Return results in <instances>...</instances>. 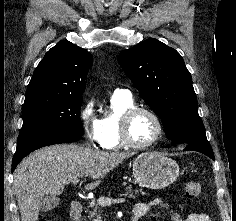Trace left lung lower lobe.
Returning a JSON list of instances; mask_svg holds the SVG:
<instances>
[{
	"instance_id": "left-lung-lower-lobe-1",
	"label": "left lung lower lobe",
	"mask_w": 236,
	"mask_h": 221,
	"mask_svg": "<svg viewBox=\"0 0 236 221\" xmlns=\"http://www.w3.org/2000/svg\"><path fill=\"white\" fill-rule=\"evenodd\" d=\"M184 146H185L184 150L198 151V152H201V153L209 156L212 160H215L213 150H212L208 141H206V142H192V143L185 144Z\"/></svg>"
}]
</instances>
